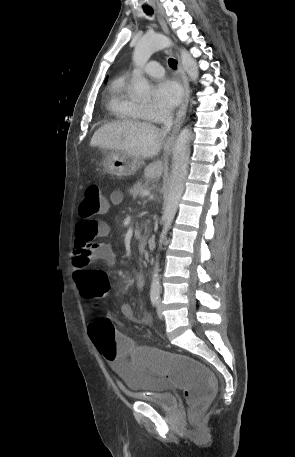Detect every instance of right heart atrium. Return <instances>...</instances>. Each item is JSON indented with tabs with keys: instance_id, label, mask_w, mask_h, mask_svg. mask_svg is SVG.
Returning <instances> with one entry per match:
<instances>
[{
	"instance_id": "obj_1",
	"label": "right heart atrium",
	"mask_w": 295,
	"mask_h": 457,
	"mask_svg": "<svg viewBox=\"0 0 295 457\" xmlns=\"http://www.w3.org/2000/svg\"><path fill=\"white\" fill-rule=\"evenodd\" d=\"M141 111L144 119L148 120H160L168 115V111L163 108H160L156 105H142Z\"/></svg>"
}]
</instances>
